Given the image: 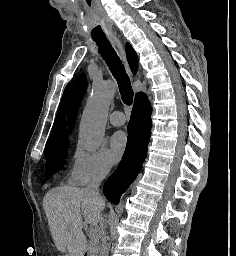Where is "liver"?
I'll use <instances>...</instances> for the list:
<instances>
[{
	"mask_svg": "<svg viewBox=\"0 0 236 256\" xmlns=\"http://www.w3.org/2000/svg\"><path fill=\"white\" fill-rule=\"evenodd\" d=\"M43 208L48 220L51 236L61 256H84L87 252V240L83 234L85 224L97 226L102 222L101 208L90 194L82 188L60 186L47 192Z\"/></svg>",
	"mask_w": 236,
	"mask_h": 256,
	"instance_id": "liver-1",
	"label": "liver"
}]
</instances>
